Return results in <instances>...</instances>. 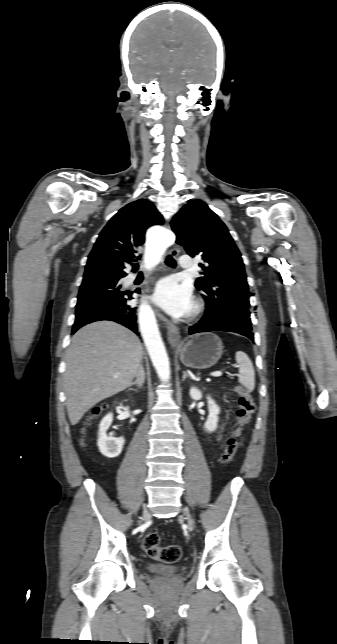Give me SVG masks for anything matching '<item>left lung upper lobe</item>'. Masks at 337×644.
I'll return each mask as SVG.
<instances>
[{
	"mask_svg": "<svg viewBox=\"0 0 337 644\" xmlns=\"http://www.w3.org/2000/svg\"><path fill=\"white\" fill-rule=\"evenodd\" d=\"M171 226L176 243L206 262L195 287L205 293V314L221 315L252 328L249 289L241 254L225 224L201 200L185 204Z\"/></svg>",
	"mask_w": 337,
	"mask_h": 644,
	"instance_id": "1",
	"label": "left lung upper lobe"
}]
</instances>
